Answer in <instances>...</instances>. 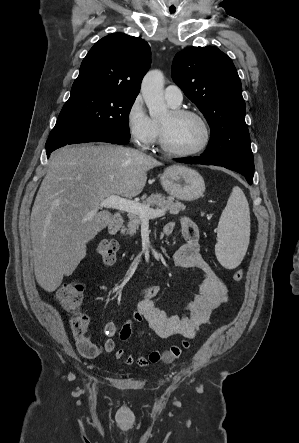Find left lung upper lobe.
Masks as SVG:
<instances>
[{
	"instance_id": "left-lung-upper-lobe-1",
	"label": "left lung upper lobe",
	"mask_w": 299,
	"mask_h": 443,
	"mask_svg": "<svg viewBox=\"0 0 299 443\" xmlns=\"http://www.w3.org/2000/svg\"><path fill=\"white\" fill-rule=\"evenodd\" d=\"M172 78L211 128L201 156L221 164L254 162L241 81L229 56L213 46L184 49L173 60Z\"/></svg>"
}]
</instances>
